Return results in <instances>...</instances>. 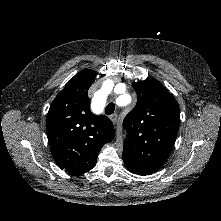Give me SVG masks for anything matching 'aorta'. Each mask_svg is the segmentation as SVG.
<instances>
[{
  "label": "aorta",
  "instance_id": "762f6f07",
  "mask_svg": "<svg viewBox=\"0 0 221 221\" xmlns=\"http://www.w3.org/2000/svg\"><path fill=\"white\" fill-rule=\"evenodd\" d=\"M124 96H125L128 100L130 99V96H129V95L126 94V95H124Z\"/></svg>",
  "mask_w": 221,
  "mask_h": 221
}]
</instances>
